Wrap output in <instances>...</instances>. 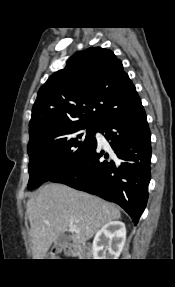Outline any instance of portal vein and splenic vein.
<instances>
[{
	"mask_svg": "<svg viewBox=\"0 0 175 287\" xmlns=\"http://www.w3.org/2000/svg\"><path fill=\"white\" fill-rule=\"evenodd\" d=\"M70 230L75 232L78 231L77 226L74 224L70 226Z\"/></svg>",
	"mask_w": 175,
	"mask_h": 287,
	"instance_id": "obj_1",
	"label": "portal vein and splenic vein"
}]
</instances>
